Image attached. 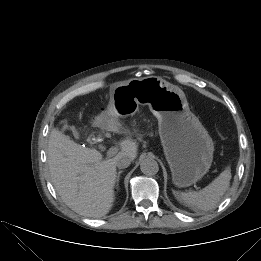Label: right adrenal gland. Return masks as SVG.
Instances as JSON below:
<instances>
[{
	"mask_svg": "<svg viewBox=\"0 0 261 261\" xmlns=\"http://www.w3.org/2000/svg\"><path fill=\"white\" fill-rule=\"evenodd\" d=\"M123 171L122 170H120L118 173H117V176H116V186H118V184H119V179H120V175H121V173H122Z\"/></svg>",
	"mask_w": 261,
	"mask_h": 261,
	"instance_id": "obj_1",
	"label": "right adrenal gland"
}]
</instances>
